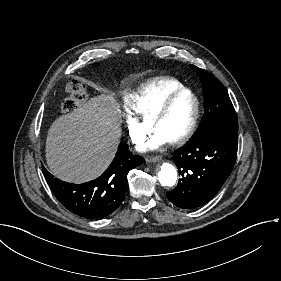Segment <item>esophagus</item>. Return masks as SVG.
<instances>
[{
	"mask_svg": "<svg viewBox=\"0 0 281 281\" xmlns=\"http://www.w3.org/2000/svg\"><path fill=\"white\" fill-rule=\"evenodd\" d=\"M161 158L159 156H154V157H147L146 160L150 163H156L160 160Z\"/></svg>",
	"mask_w": 281,
	"mask_h": 281,
	"instance_id": "34e87169",
	"label": "esophagus"
}]
</instances>
